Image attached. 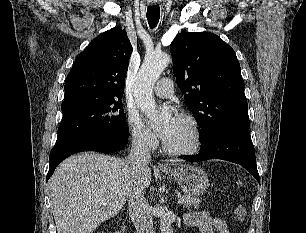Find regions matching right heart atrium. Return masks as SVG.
I'll list each match as a JSON object with an SVG mask.
<instances>
[{
	"mask_svg": "<svg viewBox=\"0 0 306 233\" xmlns=\"http://www.w3.org/2000/svg\"><path fill=\"white\" fill-rule=\"evenodd\" d=\"M127 124L134 147L143 151H151L156 148L157 138L155 134L146 126L138 113H129Z\"/></svg>",
	"mask_w": 306,
	"mask_h": 233,
	"instance_id": "d8ad5b80",
	"label": "right heart atrium"
}]
</instances>
